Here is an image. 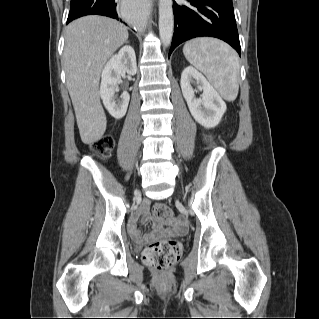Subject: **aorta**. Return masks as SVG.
Masks as SVG:
<instances>
[{"label": "aorta", "instance_id": "aorta-1", "mask_svg": "<svg viewBox=\"0 0 319 319\" xmlns=\"http://www.w3.org/2000/svg\"><path fill=\"white\" fill-rule=\"evenodd\" d=\"M173 1L159 0V35L165 47H168L172 40L174 16Z\"/></svg>", "mask_w": 319, "mask_h": 319}]
</instances>
